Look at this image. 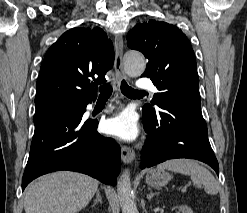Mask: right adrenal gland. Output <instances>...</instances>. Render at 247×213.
<instances>
[{"label":"right adrenal gland","mask_w":247,"mask_h":213,"mask_svg":"<svg viewBox=\"0 0 247 213\" xmlns=\"http://www.w3.org/2000/svg\"><path fill=\"white\" fill-rule=\"evenodd\" d=\"M98 202L102 203V198L100 196V190L99 189L96 192V199L93 201V206H95Z\"/></svg>","instance_id":"obj_1"}]
</instances>
